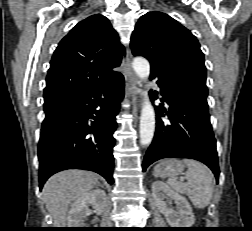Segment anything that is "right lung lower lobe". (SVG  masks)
I'll return each instance as SVG.
<instances>
[{
	"mask_svg": "<svg viewBox=\"0 0 252 231\" xmlns=\"http://www.w3.org/2000/svg\"><path fill=\"white\" fill-rule=\"evenodd\" d=\"M123 96L120 77L78 92L45 113L38 146L40 190L51 175L72 168L94 171L114 182L113 134Z\"/></svg>",
	"mask_w": 252,
	"mask_h": 231,
	"instance_id": "1",
	"label": "right lung lower lobe"
}]
</instances>
